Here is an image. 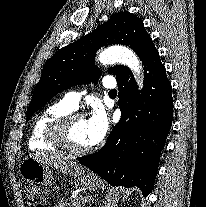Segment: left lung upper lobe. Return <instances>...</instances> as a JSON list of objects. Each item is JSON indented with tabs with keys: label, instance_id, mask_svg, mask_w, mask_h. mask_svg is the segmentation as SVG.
<instances>
[{
	"label": "left lung upper lobe",
	"instance_id": "5c2ea615",
	"mask_svg": "<svg viewBox=\"0 0 206 207\" xmlns=\"http://www.w3.org/2000/svg\"><path fill=\"white\" fill-rule=\"evenodd\" d=\"M109 44H124L141 59L153 44L143 22L129 12H119L92 33L58 50L45 64L27 110V119L58 92L77 84L97 83L101 72L94 64L96 51ZM126 66L109 70L116 79L130 73Z\"/></svg>",
	"mask_w": 206,
	"mask_h": 207
}]
</instances>
